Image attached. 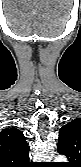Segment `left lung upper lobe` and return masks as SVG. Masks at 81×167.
I'll use <instances>...</instances> for the list:
<instances>
[{"label":"left lung upper lobe","mask_w":81,"mask_h":167,"mask_svg":"<svg viewBox=\"0 0 81 167\" xmlns=\"http://www.w3.org/2000/svg\"><path fill=\"white\" fill-rule=\"evenodd\" d=\"M58 153L65 155L69 167H80L81 119L77 118L62 126L59 132Z\"/></svg>","instance_id":"left-lung-upper-lobe-1"}]
</instances>
